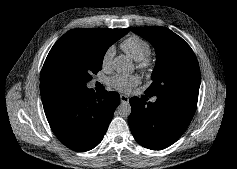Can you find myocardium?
<instances>
[{"mask_svg": "<svg viewBox=\"0 0 237 169\" xmlns=\"http://www.w3.org/2000/svg\"><path fill=\"white\" fill-rule=\"evenodd\" d=\"M155 64V59L150 54L137 61V68L142 73L148 72Z\"/></svg>", "mask_w": 237, "mask_h": 169, "instance_id": "obj_1", "label": "myocardium"}]
</instances>
